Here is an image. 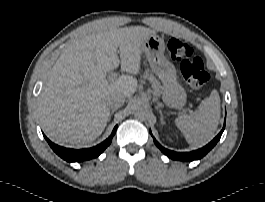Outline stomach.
Returning a JSON list of instances; mask_svg holds the SVG:
<instances>
[{
    "label": "stomach",
    "instance_id": "1",
    "mask_svg": "<svg viewBox=\"0 0 265 202\" xmlns=\"http://www.w3.org/2000/svg\"><path fill=\"white\" fill-rule=\"evenodd\" d=\"M164 40L153 34L149 36L141 45L143 54L152 69L162 83V98L164 103L175 109H181L186 104V92L177 82L176 68L164 55Z\"/></svg>",
    "mask_w": 265,
    "mask_h": 202
}]
</instances>
